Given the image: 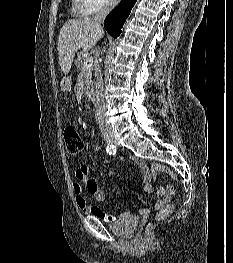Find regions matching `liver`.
I'll list each match as a JSON object with an SVG mask.
<instances>
[{
    "label": "liver",
    "instance_id": "liver-1",
    "mask_svg": "<svg viewBox=\"0 0 233 263\" xmlns=\"http://www.w3.org/2000/svg\"><path fill=\"white\" fill-rule=\"evenodd\" d=\"M102 32L91 18L72 19L60 30L57 50L62 72L69 73L75 53L82 48L88 51L103 37Z\"/></svg>",
    "mask_w": 233,
    "mask_h": 263
}]
</instances>
